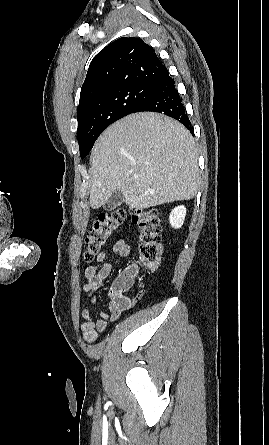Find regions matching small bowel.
I'll return each mask as SVG.
<instances>
[{
  "instance_id": "1",
  "label": "small bowel",
  "mask_w": 269,
  "mask_h": 445,
  "mask_svg": "<svg viewBox=\"0 0 269 445\" xmlns=\"http://www.w3.org/2000/svg\"><path fill=\"white\" fill-rule=\"evenodd\" d=\"M112 250L121 257H128L131 253V248L125 240H118L113 245ZM96 260L97 264L88 266L84 270V277L87 282L83 286V291L88 299V304L82 310L83 322L80 328L82 336L87 343L95 342L99 333L103 332L110 323L116 321L123 311L132 308L135 304L133 299L124 294L118 295L111 290L112 294L108 310L101 312L96 318L92 315L91 309L98 301V290L112 271V265L107 261L106 252H101ZM123 274H129L135 278L137 268L129 266L118 278ZM118 298L122 299V303L118 301Z\"/></svg>"
}]
</instances>
